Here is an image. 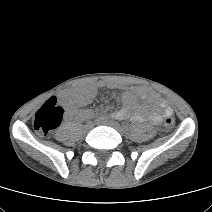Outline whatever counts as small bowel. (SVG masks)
<instances>
[{
    "label": "small bowel",
    "mask_w": 212,
    "mask_h": 212,
    "mask_svg": "<svg viewBox=\"0 0 212 212\" xmlns=\"http://www.w3.org/2000/svg\"><path fill=\"white\" fill-rule=\"evenodd\" d=\"M110 90L123 89L121 95L122 108L115 111L112 116L115 119H130L134 122L149 121L159 124L163 116L172 115L169 104L158 94L146 89H125L114 82L98 81L96 83L83 84L66 91L61 96V102L65 107V118L83 120L91 115V111L84 109L89 105L99 89ZM147 99L160 108V112L148 111L139 103V99Z\"/></svg>",
    "instance_id": "obj_1"
}]
</instances>
